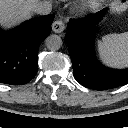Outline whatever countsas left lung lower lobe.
Wrapping results in <instances>:
<instances>
[{
  "mask_svg": "<svg viewBox=\"0 0 128 128\" xmlns=\"http://www.w3.org/2000/svg\"><path fill=\"white\" fill-rule=\"evenodd\" d=\"M105 10L79 20H71L66 42L73 64L75 79L94 90L112 89L128 83V69H110L97 61L94 55L95 26Z\"/></svg>",
  "mask_w": 128,
  "mask_h": 128,
  "instance_id": "obj_1",
  "label": "left lung lower lobe"
}]
</instances>
